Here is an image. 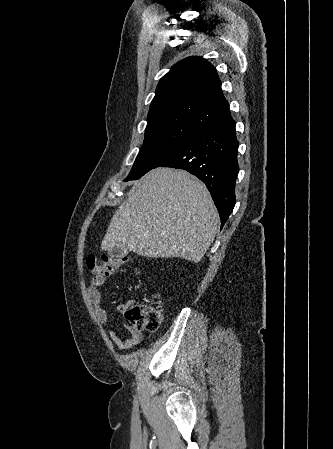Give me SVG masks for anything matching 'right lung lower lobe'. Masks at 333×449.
Returning <instances> with one entry per match:
<instances>
[{
    "label": "right lung lower lobe",
    "instance_id": "obj_1",
    "mask_svg": "<svg viewBox=\"0 0 333 449\" xmlns=\"http://www.w3.org/2000/svg\"><path fill=\"white\" fill-rule=\"evenodd\" d=\"M238 146L235 121L228 115L187 139L154 168H180L202 180L211 193L223 226L235 206Z\"/></svg>",
    "mask_w": 333,
    "mask_h": 449
}]
</instances>
